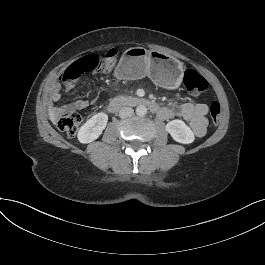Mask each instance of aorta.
Here are the masks:
<instances>
[{
    "label": "aorta",
    "instance_id": "762f6f07",
    "mask_svg": "<svg viewBox=\"0 0 265 265\" xmlns=\"http://www.w3.org/2000/svg\"><path fill=\"white\" fill-rule=\"evenodd\" d=\"M146 113H147L146 106H144V105L137 106V108H136V114L138 116H144V115H146Z\"/></svg>",
    "mask_w": 265,
    "mask_h": 265
}]
</instances>
